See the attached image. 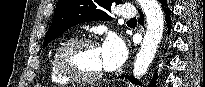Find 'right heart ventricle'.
<instances>
[{"instance_id": "obj_1", "label": "right heart ventricle", "mask_w": 205, "mask_h": 87, "mask_svg": "<svg viewBox=\"0 0 205 87\" xmlns=\"http://www.w3.org/2000/svg\"><path fill=\"white\" fill-rule=\"evenodd\" d=\"M65 41H61L55 48L52 56H51V59H50V62H49V76H50V80L53 84H56V85H66L70 82V80L64 78L63 76H61L56 67H55V63H54V57H55V53L57 51V49L64 43Z\"/></svg>"}]
</instances>
